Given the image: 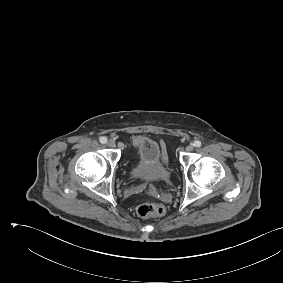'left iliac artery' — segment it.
Instances as JSON below:
<instances>
[{"label": "left iliac artery", "mask_w": 283, "mask_h": 283, "mask_svg": "<svg viewBox=\"0 0 283 283\" xmlns=\"http://www.w3.org/2000/svg\"><path fill=\"white\" fill-rule=\"evenodd\" d=\"M195 147H200L201 146V142L196 140L194 141V144H193Z\"/></svg>", "instance_id": "obj_1"}]
</instances>
